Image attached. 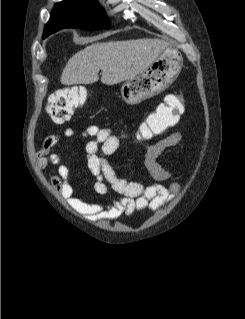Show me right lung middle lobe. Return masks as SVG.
Masks as SVG:
<instances>
[{"instance_id":"1","label":"right lung middle lobe","mask_w":245,"mask_h":319,"mask_svg":"<svg viewBox=\"0 0 245 319\" xmlns=\"http://www.w3.org/2000/svg\"><path fill=\"white\" fill-rule=\"evenodd\" d=\"M103 13V7L96 0H65L56 4L50 19L51 25L45 29V33L69 27L90 31L108 29L110 22Z\"/></svg>"}]
</instances>
